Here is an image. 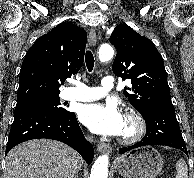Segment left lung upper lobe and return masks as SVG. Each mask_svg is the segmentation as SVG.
Returning a JSON list of instances; mask_svg holds the SVG:
<instances>
[{
    "label": "left lung upper lobe",
    "mask_w": 194,
    "mask_h": 178,
    "mask_svg": "<svg viewBox=\"0 0 194 178\" xmlns=\"http://www.w3.org/2000/svg\"><path fill=\"white\" fill-rule=\"evenodd\" d=\"M109 40L117 49L114 74L131 79L132 87L124 90L129 102L139 112L151 106L172 105L163 58L152 41L127 24L117 25Z\"/></svg>",
    "instance_id": "5c2ea615"
}]
</instances>
